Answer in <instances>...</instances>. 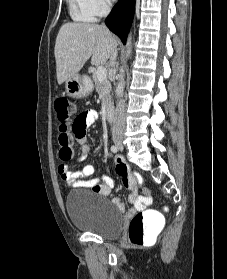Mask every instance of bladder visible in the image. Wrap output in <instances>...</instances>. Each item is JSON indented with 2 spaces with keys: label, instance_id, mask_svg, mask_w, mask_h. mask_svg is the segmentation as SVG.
Returning <instances> with one entry per match:
<instances>
[{
  "label": "bladder",
  "instance_id": "obj_1",
  "mask_svg": "<svg viewBox=\"0 0 227 279\" xmlns=\"http://www.w3.org/2000/svg\"><path fill=\"white\" fill-rule=\"evenodd\" d=\"M65 207L72 224L105 239L118 238L123 218L116 206L104 195L91 190L70 192Z\"/></svg>",
  "mask_w": 227,
  "mask_h": 279
}]
</instances>
